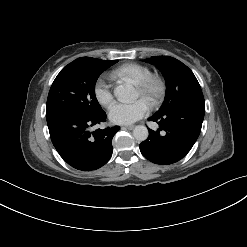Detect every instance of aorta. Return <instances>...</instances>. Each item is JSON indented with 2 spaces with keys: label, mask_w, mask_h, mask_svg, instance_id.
I'll return each instance as SVG.
<instances>
[{
  "label": "aorta",
  "mask_w": 247,
  "mask_h": 247,
  "mask_svg": "<svg viewBox=\"0 0 247 247\" xmlns=\"http://www.w3.org/2000/svg\"><path fill=\"white\" fill-rule=\"evenodd\" d=\"M134 87L129 83L118 85L114 89V95L120 102H128L134 97ZM148 129L143 125H138L133 130V136L137 141H144L148 138Z\"/></svg>",
  "instance_id": "obj_1"
}]
</instances>
